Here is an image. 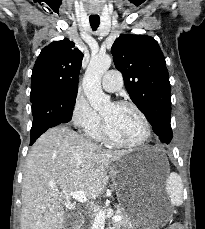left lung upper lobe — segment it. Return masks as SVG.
<instances>
[{
	"label": "left lung upper lobe",
	"instance_id": "1",
	"mask_svg": "<svg viewBox=\"0 0 205 229\" xmlns=\"http://www.w3.org/2000/svg\"><path fill=\"white\" fill-rule=\"evenodd\" d=\"M127 92L144 113L161 142L172 139L171 91L165 58L157 41L145 35L123 34L111 48Z\"/></svg>",
	"mask_w": 205,
	"mask_h": 229
}]
</instances>
